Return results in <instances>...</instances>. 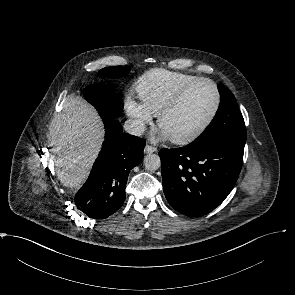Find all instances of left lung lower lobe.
<instances>
[{
    "mask_svg": "<svg viewBox=\"0 0 295 295\" xmlns=\"http://www.w3.org/2000/svg\"><path fill=\"white\" fill-rule=\"evenodd\" d=\"M243 151L224 142L160 150L163 191L169 204L190 217L214 210L238 179Z\"/></svg>",
    "mask_w": 295,
    "mask_h": 295,
    "instance_id": "1",
    "label": "left lung lower lobe"
}]
</instances>
